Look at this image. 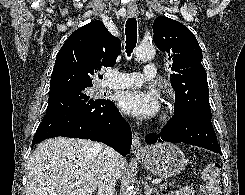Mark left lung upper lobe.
I'll return each instance as SVG.
<instances>
[{"label": "left lung upper lobe", "instance_id": "left-lung-upper-lobe-1", "mask_svg": "<svg viewBox=\"0 0 245 195\" xmlns=\"http://www.w3.org/2000/svg\"><path fill=\"white\" fill-rule=\"evenodd\" d=\"M156 46L168 53L175 91L174 114L198 111L211 115L207 74L201 64L202 50L194 34L182 23L159 16L153 23Z\"/></svg>", "mask_w": 245, "mask_h": 195}]
</instances>
